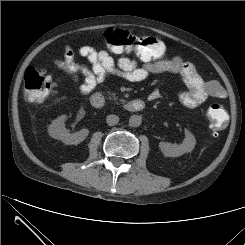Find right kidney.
Masks as SVG:
<instances>
[{
	"label": "right kidney",
	"instance_id": "right-kidney-1",
	"mask_svg": "<svg viewBox=\"0 0 245 245\" xmlns=\"http://www.w3.org/2000/svg\"><path fill=\"white\" fill-rule=\"evenodd\" d=\"M66 115H62L56 118L48 128L49 135L54 138L62 141L67 145H77L84 141L89 134L88 129H82L76 133H69L65 128Z\"/></svg>",
	"mask_w": 245,
	"mask_h": 245
}]
</instances>
